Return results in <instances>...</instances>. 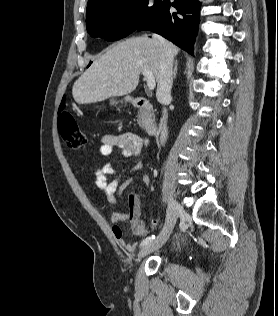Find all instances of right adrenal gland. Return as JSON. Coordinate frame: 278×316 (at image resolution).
Masks as SVG:
<instances>
[{
	"mask_svg": "<svg viewBox=\"0 0 278 316\" xmlns=\"http://www.w3.org/2000/svg\"><path fill=\"white\" fill-rule=\"evenodd\" d=\"M177 69H178V61L176 60L175 61V66H174V73H173L174 79L176 78V75H177Z\"/></svg>",
	"mask_w": 278,
	"mask_h": 316,
	"instance_id": "2a0ac1e0",
	"label": "right adrenal gland"
}]
</instances>
